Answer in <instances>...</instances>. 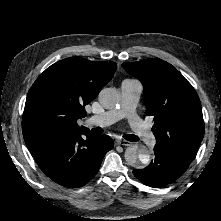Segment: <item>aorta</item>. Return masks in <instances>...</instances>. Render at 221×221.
I'll use <instances>...</instances> for the list:
<instances>
[{
  "label": "aorta",
  "mask_w": 221,
  "mask_h": 221,
  "mask_svg": "<svg viewBox=\"0 0 221 221\" xmlns=\"http://www.w3.org/2000/svg\"><path fill=\"white\" fill-rule=\"evenodd\" d=\"M120 101V94L114 88H104L99 93V102L106 109L114 108ZM126 162L135 168H141L150 161V153L143 145H131L125 150Z\"/></svg>",
  "instance_id": "obj_1"
}]
</instances>
